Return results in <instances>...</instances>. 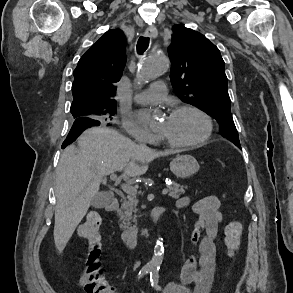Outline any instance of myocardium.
<instances>
[{
	"mask_svg": "<svg viewBox=\"0 0 293 293\" xmlns=\"http://www.w3.org/2000/svg\"><path fill=\"white\" fill-rule=\"evenodd\" d=\"M183 111L195 112L204 120L205 131H204L203 135L201 137H199L198 139L191 141V142H176V141L161 137L162 142L165 145L170 146V147H174V148L196 147V146L202 145L205 142H207L210 139V137L212 136V133L214 130L212 118L205 111H203L199 107L192 105V104H182V105L176 106L175 108H173L171 110L170 114H176V113L183 112Z\"/></svg>",
	"mask_w": 293,
	"mask_h": 293,
	"instance_id": "1",
	"label": "myocardium"
}]
</instances>
